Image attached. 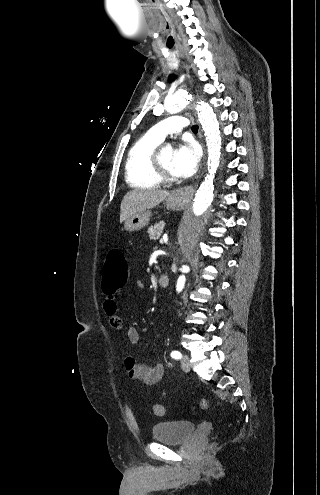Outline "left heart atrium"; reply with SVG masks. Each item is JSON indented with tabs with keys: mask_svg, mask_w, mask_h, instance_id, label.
<instances>
[{
	"mask_svg": "<svg viewBox=\"0 0 320 495\" xmlns=\"http://www.w3.org/2000/svg\"><path fill=\"white\" fill-rule=\"evenodd\" d=\"M198 162V147L192 142H185L174 151L172 172L178 177L187 178L196 171Z\"/></svg>",
	"mask_w": 320,
	"mask_h": 495,
	"instance_id": "obj_1",
	"label": "left heart atrium"
}]
</instances>
